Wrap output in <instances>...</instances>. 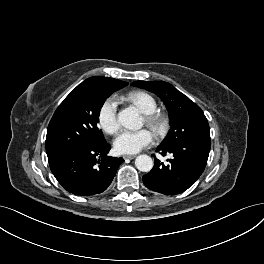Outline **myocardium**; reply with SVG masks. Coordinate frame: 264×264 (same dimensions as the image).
<instances>
[{"instance_id": "1", "label": "myocardium", "mask_w": 264, "mask_h": 264, "mask_svg": "<svg viewBox=\"0 0 264 264\" xmlns=\"http://www.w3.org/2000/svg\"><path fill=\"white\" fill-rule=\"evenodd\" d=\"M144 121L158 135L165 134L168 127L166 117L158 111L144 114Z\"/></svg>"}]
</instances>
